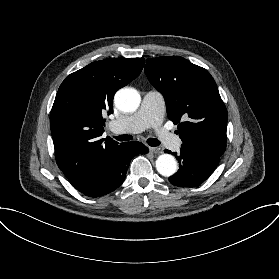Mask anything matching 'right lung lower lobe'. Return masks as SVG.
I'll return each mask as SVG.
<instances>
[{
  "instance_id": "obj_1",
  "label": "right lung lower lobe",
  "mask_w": 279,
  "mask_h": 279,
  "mask_svg": "<svg viewBox=\"0 0 279 279\" xmlns=\"http://www.w3.org/2000/svg\"><path fill=\"white\" fill-rule=\"evenodd\" d=\"M139 153H147V147L142 143H123L120 151L103 174L80 192L92 198L111 193L124 182L131 159Z\"/></svg>"
}]
</instances>
